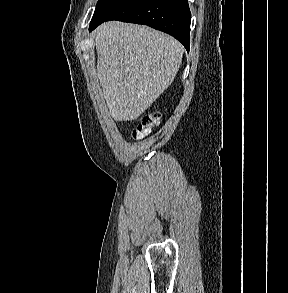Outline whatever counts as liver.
<instances>
[{
    "label": "liver",
    "mask_w": 288,
    "mask_h": 293,
    "mask_svg": "<svg viewBox=\"0 0 288 293\" xmlns=\"http://www.w3.org/2000/svg\"><path fill=\"white\" fill-rule=\"evenodd\" d=\"M97 76L115 121L137 119L173 82L179 41L152 28L110 21L95 31Z\"/></svg>",
    "instance_id": "obj_1"
}]
</instances>
